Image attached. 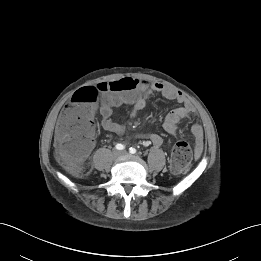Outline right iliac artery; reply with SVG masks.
<instances>
[{
	"label": "right iliac artery",
	"mask_w": 261,
	"mask_h": 261,
	"mask_svg": "<svg viewBox=\"0 0 261 261\" xmlns=\"http://www.w3.org/2000/svg\"><path fill=\"white\" fill-rule=\"evenodd\" d=\"M124 148H125V146L123 144H117L116 145L117 150H123Z\"/></svg>",
	"instance_id": "right-iliac-artery-1"
}]
</instances>
